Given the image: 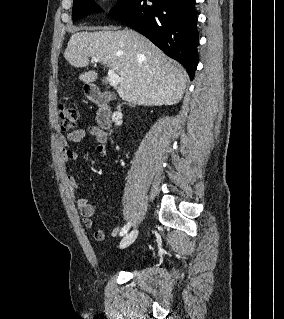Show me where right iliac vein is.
<instances>
[{"mask_svg": "<svg viewBox=\"0 0 284 319\" xmlns=\"http://www.w3.org/2000/svg\"><path fill=\"white\" fill-rule=\"evenodd\" d=\"M137 235H138V230L137 229L132 230L131 232H129L122 238L119 247L126 248L130 246L137 238Z\"/></svg>", "mask_w": 284, "mask_h": 319, "instance_id": "1", "label": "right iliac vein"}]
</instances>
